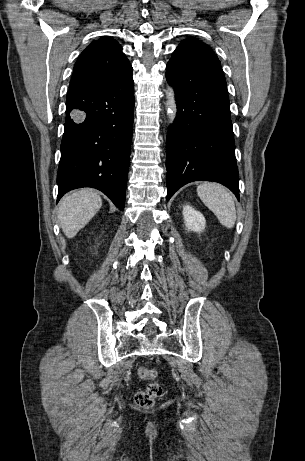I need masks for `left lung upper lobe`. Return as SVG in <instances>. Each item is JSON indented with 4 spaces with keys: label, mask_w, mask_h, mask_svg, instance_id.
I'll return each instance as SVG.
<instances>
[{
    "label": "left lung upper lobe",
    "mask_w": 305,
    "mask_h": 461,
    "mask_svg": "<svg viewBox=\"0 0 305 461\" xmlns=\"http://www.w3.org/2000/svg\"><path fill=\"white\" fill-rule=\"evenodd\" d=\"M172 55H180L193 59H218L208 45L195 38H187L186 40H183Z\"/></svg>",
    "instance_id": "obj_1"
}]
</instances>
